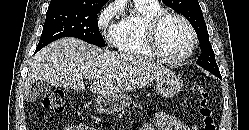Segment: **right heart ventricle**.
<instances>
[{
  "mask_svg": "<svg viewBox=\"0 0 249 130\" xmlns=\"http://www.w3.org/2000/svg\"><path fill=\"white\" fill-rule=\"evenodd\" d=\"M162 11L164 10L157 1L134 0L133 12L116 24L111 38L114 47L130 56L155 57L148 46L146 26L153 16Z\"/></svg>",
  "mask_w": 249,
  "mask_h": 130,
  "instance_id": "e07e8e85",
  "label": "right heart ventricle"
}]
</instances>
